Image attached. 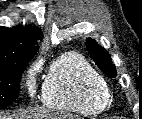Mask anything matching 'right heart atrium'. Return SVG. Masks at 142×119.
Listing matches in <instances>:
<instances>
[{
  "mask_svg": "<svg viewBox=\"0 0 142 119\" xmlns=\"http://www.w3.org/2000/svg\"><path fill=\"white\" fill-rule=\"evenodd\" d=\"M40 68H41V63L35 62L26 71L25 85L30 95H33L35 93V88H36L35 79L39 74Z\"/></svg>",
  "mask_w": 142,
  "mask_h": 119,
  "instance_id": "d8ad5b80",
  "label": "right heart atrium"
}]
</instances>
